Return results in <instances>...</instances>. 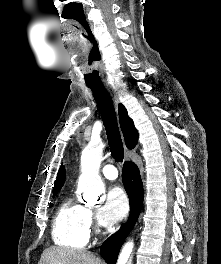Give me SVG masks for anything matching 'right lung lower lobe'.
<instances>
[{
  "label": "right lung lower lobe",
  "mask_w": 221,
  "mask_h": 264,
  "mask_svg": "<svg viewBox=\"0 0 221 264\" xmlns=\"http://www.w3.org/2000/svg\"><path fill=\"white\" fill-rule=\"evenodd\" d=\"M122 181L130 201V216L127 224L110 236L101 246V255L107 264H116L118 253L126 237L134 227L143 204V184L138 167L132 162H125Z\"/></svg>",
  "instance_id": "obj_1"
}]
</instances>
